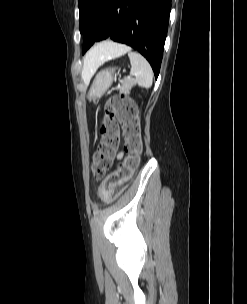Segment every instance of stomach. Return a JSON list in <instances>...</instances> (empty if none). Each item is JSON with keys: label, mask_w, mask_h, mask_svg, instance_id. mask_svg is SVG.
I'll use <instances>...</instances> for the list:
<instances>
[{"label": "stomach", "mask_w": 247, "mask_h": 304, "mask_svg": "<svg viewBox=\"0 0 247 304\" xmlns=\"http://www.w3.org/2000/svg\"><path fill=\"white\" fill-rule=\"evenodd\" d=\"M114 74L115 68H106L97 73L87 95L90 101L101 97L107 91L112 85Z\"/></svg>", "instance_id": "1"}]
</instances>
